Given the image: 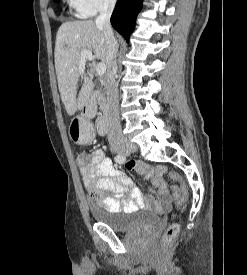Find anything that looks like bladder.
I'll list each match as a JSON object with an SVG mask.
<instances>
[{
  "label": "bladder",
  "instance_id": "obj_1",
  "mask_svg": "<svg viewBox=\"0 0 247 275\" xmlns=\"http://www.w3.org/2000/svg\"><path fill=\"white\" fill-rule=\"evenodd\" d=\"M95 221L116 231H127L135 226H153L159 221L158 214L144 210L111 211L105 208L89 206Z\"/></svg>",
  "mask_w": 247,
  "mask_h": 275
}]
</instances>
